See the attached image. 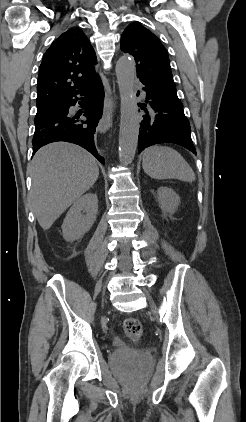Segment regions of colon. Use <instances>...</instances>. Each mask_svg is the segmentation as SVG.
<instances>
[{
    "label": "colon",
    "instance_id": "obj_1",
    "mask_svg": "<svg viewBox=\"0 0 246 422\" xmlns=\"http://www.w3.org/2000/svg\"><path fill=\"white\" fill-rule=\"evenodd\" d=\"M123 330L125 335L134 342L139 341L143 334L142 323L134 317H128L123 321Z\"/></svg>",
    "mask_w": 246,
    "mask_h": 422
}]
</instances>
